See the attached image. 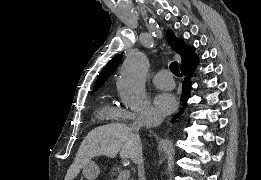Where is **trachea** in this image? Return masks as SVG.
<instances>
[{
  "instance_id": "1",
  "label": "trachea",
  "mask_w": 261,
  "mask_h": 180,
  "mask_svg": "<svg viewBox=\"0 0 261 180\" xmlns=\"http://www.w3.org/2000/svg\"><path fill=\"white\" fill-rule=\"evenodd\" d=\"M169 68L171 72L174 73V75H176V77H182L177 62H172Z\"/></svg>"
}]
</instances>
